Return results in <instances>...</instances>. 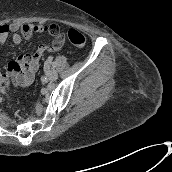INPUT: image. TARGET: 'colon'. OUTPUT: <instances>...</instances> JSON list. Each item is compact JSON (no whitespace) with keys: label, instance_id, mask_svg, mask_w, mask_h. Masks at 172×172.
<instances>
[{"label":"colon","instance_id":"obj_1","mask_svg":"<svg viewBox=\"0 0 172 172\" xmlns=\"http://www.w3.org/2000/svg\"><path fill=\"white\" fill-rule=\"evenodd\" d=\"M37 28H38L37 26H30V27L25 26L22 30V33L25 37H29L31 31L37 30ZM43 30L52 35H57L59 33V29L53 26L43 27ZM64 34L66 35L68 40L76 47H83L86 43L85 36L75 29H70ZM0 84L2 87L1 91L7 97V89L11 84L10 77L5 76L3 79H1Z\"/></svg>","mask_w":172,"mask_h":172}]
</instances>
